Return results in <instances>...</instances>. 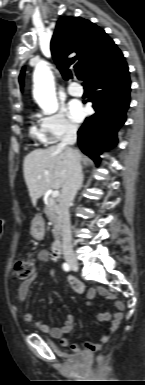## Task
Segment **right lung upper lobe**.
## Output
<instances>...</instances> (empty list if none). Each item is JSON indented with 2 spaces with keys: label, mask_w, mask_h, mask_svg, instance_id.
<instances>
[{
  "label": "right lung upper lobe",
  "mask_w": 145,
  "mask_h": 385,
  "mask_svg": "<svg viewBox=\"0 0 145 385\" xmlns=\"http://www.w3.org/2000/svg\"><path fill=\"white\" fill-rule=\"evenodd\" d=\"M52 57L63 77L72 72L89 84L110 74L125 63V58L103 29L80 17H62L51 40ZM24 70L20 74L23 85Z\"/></svg>",
  "instance_id": "right-lung-upper-lobe-1"
}]
</instances>
